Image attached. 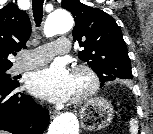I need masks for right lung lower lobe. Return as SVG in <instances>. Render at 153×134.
I'll use <instances>...</instances> for the list:
<instances>
[{
    "label": "right lung lower lobe",
    "instance_id": "right-lung-lower-lobe-1",
    "mask_svg": "<svg viewBox=\"0 0 153 134\" xmlns=\"http://www.w3.org/2000/svg\"><path fill=\"white\" fill-rule=\"evenodd\" d=\"M17 86L0 84V130L13 134H42L49 123L48 112Z\"/></svg>",
    "mask_w": 153,
    "mask_h": 134
}]
</instances>
